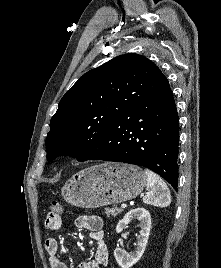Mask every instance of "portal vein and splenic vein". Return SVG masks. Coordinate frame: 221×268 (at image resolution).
I'll use <instances>...</instances> for the list:
<instances>
[{
  "instance_id": "18ae733b",
  "label": "portal vein and splenic vein",
  "mask_w": 221,
  "mask_h": 268,
  "mask_svg": "<svg viewBox=\"0 0 221 268\" xmlns=\"http://www.w3.org/2000/svg\"><path fill=\"white\" fill-rule=\"evenodd\" d=\"M126 207H127V205L125 203L121 205V208H123V209Z\"/></svg>"
}]
</instances>
